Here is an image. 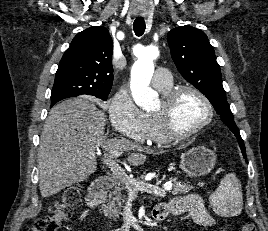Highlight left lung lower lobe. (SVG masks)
<instances>
[{
    "mask_svg": "<svg viewBox=\"0 0 268 231\" xmlns=\"http://www.w3.org/2000/svg\"><path fill=\"white\" fill-rule=\"evenodd\" d=\"M241 151H242V154H243L244 158L246 159V150L243 149V147H241ZM246 162H247V160H246Z\"/></svg>",
    "mask_w": 268,
    "mask_h": 231,
    "instance_id": "0a47b994",
    "label": "left lung lower lobe"
}]
</instances>
